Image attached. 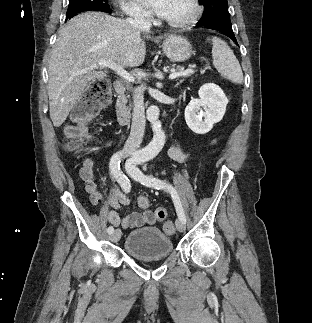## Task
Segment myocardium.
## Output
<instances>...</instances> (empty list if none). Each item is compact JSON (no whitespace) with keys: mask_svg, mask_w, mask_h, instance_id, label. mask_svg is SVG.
Masks as SVG:
<instances>
[{"mask_svg":"<svg viewBox=\"0 0 312 323\" xmlns=\"http://www.w3.org/2000/svg\"><path fill=\"white\" fill-rule=\"evenodd\" d=\"M187 4H191L187 8V18H168V25H193L194 21H201L202 13L205 12V3H199V0H186Z\"/></svg>","mask_w":312,"mask_h":323,"instance_id":"obj_1","label":"myocardium"}]
</instances>
